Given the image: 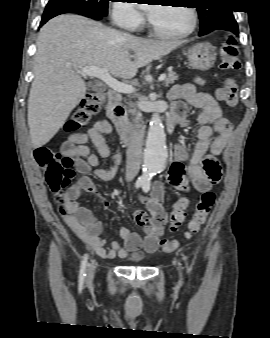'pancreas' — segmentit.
<instances>
[{"mask_svg":"<svg viewBox=\"0 0 270 338\" xmlns=\"http://www.w3.org/2000/svg\"><path fill=\"white\" fill-rule=\"evenodd\" d=\"M178 79V75L171 71L168 73V76L166 77L165 79V85L166 86H169V84H173L176 80ZM128 112L135 117L136 120H138L141 116L140 112H138L135 108H133V104L132 103H129V108H128ZM120 123L121 124H127L128 123V115L125 114L124 116H122L120 118Z\"/></svg>","mask_w":270,"mask_h":338,"instance_id":"obj_1","label":"pancreas"}]
</instances>
